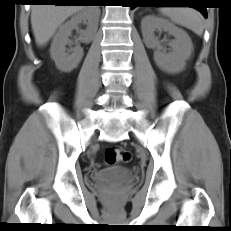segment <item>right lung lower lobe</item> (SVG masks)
Segmentation results:
<instances>
[{
    "mask_svg": "<svg viewBox=\"0 0 231 231\" xmlns=\"http://www.w3.org/2000/svg\"><path fill=\"white\" fill-rule=\"evenodd\" d=\"M33 3H52L55 5H71L73 3H79L82 0H29Z\"/></svg>",
    "mask_w": 231,
    "mask_h": 231,
    "instance_id": "98d812e1",
    "label": "right lung lower lobe"
}]
</instances>
